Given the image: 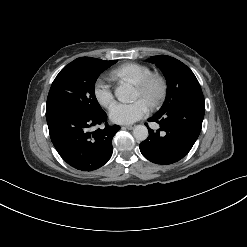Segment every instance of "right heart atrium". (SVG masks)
Returning <instances> with one entry per match:
<instances>
[{"label":"right heart atrium","instance_id":"d8ad5b80","mask_svg":"<svg viewBox=\"0 0 247 247\" xmlns=\"http://www.w3.org/2000/svg\"><path fill=\"white\" fill-rule=\"evenodd\" d=\"M93 93L97 102L103 107H110L114 101V94L109 85V79L105 76L99 77L93 87Z\"/></svg>","mask_w":247,"mask_h":247}]
</instances>
